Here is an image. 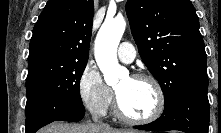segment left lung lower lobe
Returning a JSON list of instances; mask_svg holds the SVG:
<instances>
[{"label":"left lung lower lobe","mask_w":221,"mask_h":133,"mask_svg":"<svg viewBox=\"0 0 221 133\" xmlns=\"http://www.w3.org/2000/svg\"><path fill=\"white\" fill-rule=\"evenodd\" d=\"M209 101L207 87H192L181 92L160 118L136 129L150 131L179 130L185 133H208Z\"/></svg>","instance_id":"1"}]
</instances>
